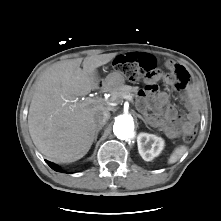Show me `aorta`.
Returning a JSON list of instances; mask_svg holds the SVG:
<instances>
[{
  "mask_svg": "<svg viewBox=\"0 0 221 221\" xmlns=\"http://www.w3.org/2000/svg\"><path fill=\"white\" fill-rule=\"evenodd\" d=\"M134 119L131 115L122 114L116 117L113 131L119 139H128L134 133Z\"/></svg>",
  "mask_w": 221,
  "mask_h": 221,
  "instance_id": "aorta-1",
  "label": "aorta"
}]
</instances>
